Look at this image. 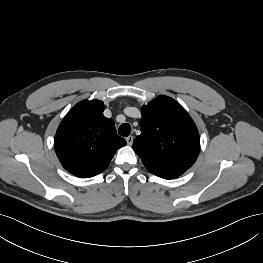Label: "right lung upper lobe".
I'll use <instances>...</instances> for the list:
<instances>
[{
  "label": "right lung upper lobe",
  "mask_w": 263,
  "mask_h": 263,
  "mask_svg": "<svg viewBox=\"0 0 263 263\" xmlns=\"http://www.w3.org/2000/svg\"><path fill=\"white\" fill-rule=\"evenodd\" d=\"M104 103L81 101L60 123L54 148L62 166L79 177L103 172L116 151L126 145L118 136L114 121L103 115Z\"/></svg>",
  "instance_id": "obj_1"
}]
</instances>
